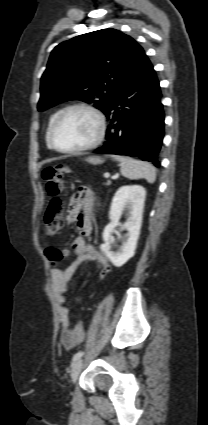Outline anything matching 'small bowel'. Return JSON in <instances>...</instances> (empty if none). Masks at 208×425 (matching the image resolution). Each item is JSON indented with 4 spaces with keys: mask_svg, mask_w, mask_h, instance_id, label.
<instances>
[{
    "mask_svg": "<svg viewBox=\"0 0 208 425\" xmlns=\"http://www.w3.org/2000/svg\"><path fill=\"white\" fill-rule=\"evenodd\" d=\"M94 205L95 195L89 187L82 186L72 195L67 212V221L75 223L79 232V236L72 242V249L76 257L64 269L60 266H52L51 269V289L59 308L60 339L66 349L77 346L85 337L84 327L81 323L71 325L69 310L65 306L64 295L68 291L72 277L85 261L95 262L98 270L104 266H109L106 256L88 242L95 224Z\"/></svg>",
    "mask_w": 208,
    "mask_h": 425,
    "instance_id": "small-bowel-1",
    "label": "small bowel"
}]
</instances>
